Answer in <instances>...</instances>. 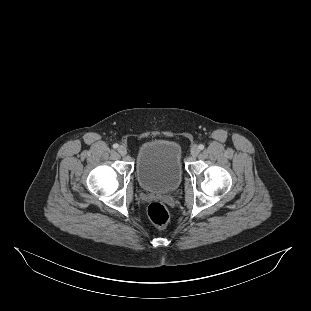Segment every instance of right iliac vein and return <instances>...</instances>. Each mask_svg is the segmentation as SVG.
<instances>
[{
    "instance_id": "right-iliac-vein-1",
    "label": "right iliac vein",
    "mask_w": 311,
    "mask_h": 311,
    "mask_svg": "<svg viewBox=\"0 0 311 311\" xmlns=\"http://www.w3.org/2000/svg\"><path fill=\"white\" fill-rule=\"evenodd\" d=\"M118 152H119L120 155L124 156V155H126V153H127V149H126V147H124V146H120V147L118 148Z\"/></svg>"
}]
</instances>
